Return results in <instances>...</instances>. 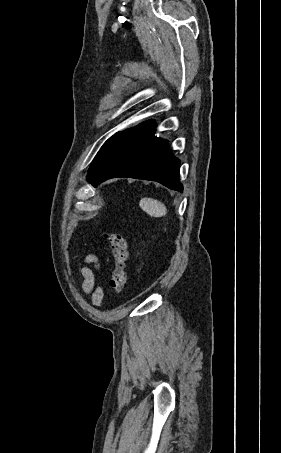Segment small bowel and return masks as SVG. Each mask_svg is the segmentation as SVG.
Instances as JSON below:
<instances>
[{"mask_svg": "<svg viewBox=\"0 0 281 453\" xmlns=\"http://www.w3.org/2000/svg\"><path fill=\"white\" fill-rule=\"evenodd\" d=\"M88 259L92 265L94 266L99 265V258L97 256H90ZM81 278L83 291L86 294L91 295L92 300L95 304L97 305L100 304L104 297V292L96 284V277L93 269L84 268L83 271L81 272Z\"/></svg>", "mask_w": 281, "mask_h": 453, "instance_id": "obj_1", "label": "small bowel"}]
</instances>
